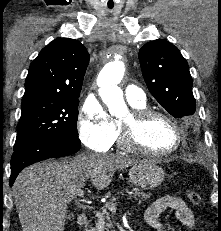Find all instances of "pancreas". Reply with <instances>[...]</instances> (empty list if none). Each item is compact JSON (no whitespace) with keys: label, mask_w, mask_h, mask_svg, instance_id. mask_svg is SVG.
<instances>
[{"label":"pancreas","mask_w":221,"mask_h":231,"mask_svg":"<svg viewBox=\"0 0 221 231\" xmlns=\"http://www.w3.org/2000/svg\"><path fill=\"white\" fill-rule=\"evenodd\" d=\"M135 191L136 196L141 197V199L149 198V194L139 190ZM114 200L115 199L113 198L109 203L113 202ZM108 204L104 205L99 211L96 212L97 220L95 221L94 227H91L89 231H109V228L113 226L110 220L109 212L107 211L109 209Z\"/></svg>","instance_id":"cf45deb5"}]
</instances>
